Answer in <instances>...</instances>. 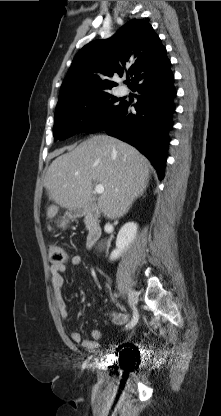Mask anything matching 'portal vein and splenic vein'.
I'll list each match as a JSON object with an SVG mask.
<instances>
[{
	"instance_id": "1",
	"label": "portal vein and splenic vein",
	"mask_w": 221,
	"mask_h": 416,
	"mask_svg": "<svg viewBox=\"0 0 221 416\" xmlns=\"http://www.w3.org/2000/svg\"><path fill=\"white\" fill-rule=\"evenodd\" d=\"M95 192H96V193H98V194H102V193L104 192V187H103V185H101V184H97V185L95 186Z\"/></svg>"
}]
</instances>
